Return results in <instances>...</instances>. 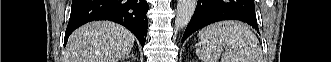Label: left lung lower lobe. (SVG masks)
Wrapping results in <instances>:
<instances>
[{
	"instance_id": "left-lung-lower-lobe-1",
	"label": "left lung lower lobe",
	"mask_w": 331,
	"mask_h": 62,
	"mask_svg": "<svg viewBox=\"0 0 331 62\" xmlns=\"http://www.w3.org/2000/svg\"><path fill=\"white\" fill-rule=\"evenodd\" d=\"M222 20H240L258 30L254 0H198L182 42L193 32Z\"/></svg>"
}]
</instances>
